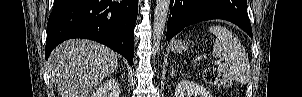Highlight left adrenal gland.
I'll return each instance as SVG.
<instances>
[{"label":"left adrenal gland","instance_id":"obj_1","mask_svg":"<svg viewBox=\"0 0 302 97\" xmlns=\"http://www.w3.org/2000/svg\"><path fill=\"white\" fill-rule=\"evenodd\" d=\"M176 72H178L176 69H174V67L172 66V70L170 72L171 75H174Z\"/></svg>","mask_w":302,"mask_h":97}]
</instances>
